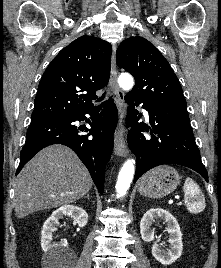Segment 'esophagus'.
Segmentation results:
<instances>
[{"instance_id":"esophagus-1","label":"esophagus","mask_w":221,"mask_h":268,"mask_svg":"<svg viewBox=\"0 0 221 268\" xmlns=\"http://www.w3.org/2000/svg\"><path fill=\"white\" fill-rule=\"evenodd\" d=\"M116 47L113 46L112 56H111V77L110 85L118 98V111H119V127L120 132L115 138L114 142V152L119 156H126L128 154V149L126 145L125 134L123 132V124L125 117V108L123 106L124 92L119 88L117 84V67H116V58H115Z\"/></svg>"}]
</instances>
